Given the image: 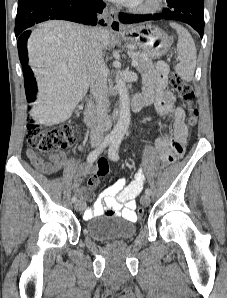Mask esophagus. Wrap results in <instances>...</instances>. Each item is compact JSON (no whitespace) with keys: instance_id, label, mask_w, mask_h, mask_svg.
Here are the masks:
<instances>
[{"instance_id":"esophagus-1","label":"esophagus","mask_w":227,"mask_h":298,"mask_svg":"<svg viewBox=\"0 0 227 298\" xmlns=\"http://www.w3.org/2000/svg\"><path fill=\"white\" fill-rule=\"evenodd\" d=\"M106 19L111 30L115 32H121L124 30V27L118 20V11L114 7L109 9Z\"/></svg>"}]
</instances>
